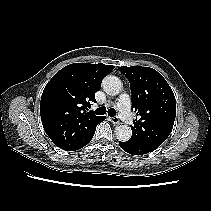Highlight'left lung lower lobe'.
<instances>
[{
    "mask_svg": "<svg viewBox=\"0 0 211 211\" xmlns=\"http://www.w3.org/2000/svg\"><path fill=\"white\" fill-rule=\"evenodd\" d=\"M120 147L125 150L127 153L132 155H143L157 149L156 147L145 143V142H137L132 139L126 142H119Z\"/></svg>",
    "mask_w": 211,
    "mask_h": 211,
    "instance_id": "obj_1",
    "label": "left lung lower lobe"
}]
</instances>
